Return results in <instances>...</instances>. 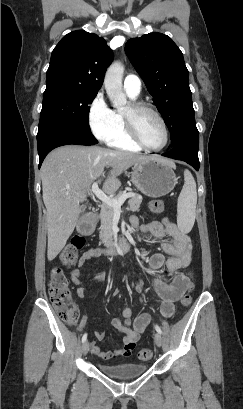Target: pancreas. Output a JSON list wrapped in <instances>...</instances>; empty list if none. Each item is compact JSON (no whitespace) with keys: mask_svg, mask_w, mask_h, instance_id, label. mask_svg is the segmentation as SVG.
<instances>
[{"mask_svg":"<svg viewBox=\"0 0 243 409\" xmlns=\"http://www.w3.org/2000/svg\"><path fill=\"white\" fill-rule=\"evenodd\" d=\"M125 193L126 191H121L114 198L118 199ZM141 202H142V197L138 194H134L128 202L130 210L134 212L139 211ZM114 211L115 210L112 207L106 204H103L101 207V212H100L101 226H100L99 238L101 242L104 244H111L113 241L112 225H113Z\"/></svg>","mask_w":243,"mask_h":409,"instance_id":"obj_1","label":"pancreas"}]
</instances>
